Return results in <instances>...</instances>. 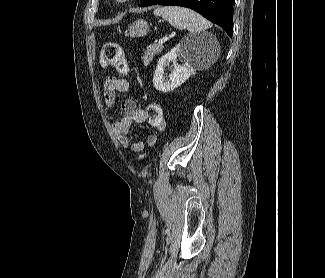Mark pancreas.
<instances>
[{"instance_id": "obj_1", "label": "pancreas", "mask_w": 325, "mask_h": 278, "mask_svg": "<svg viewBox=\"0 0 325 278\" xmlns=\"http://www.w3.org/2000/svg\"><path fill=\"white\" fill-rule=\"evenodd\" d=\"M162 50L163 46L159 44H153L148 46L146 50H144V54L142 55V60L144 64L148 65L154 59V57L159 54Z\"/></svg>"}]
</instances>
